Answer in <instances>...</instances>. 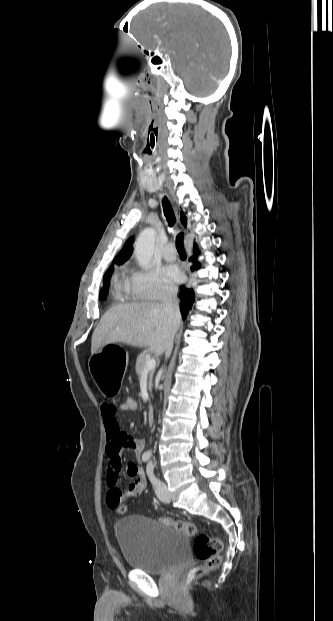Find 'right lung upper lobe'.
<instances>
[{
    "label": "right lung upper lobe",
    "instance_id": "cb5924a9",
    "mask_svg": "<svg viewBox=\"0 0 333 621\" xmlns=\"http://www.w3.org/2000/svg\"><path fill=\"white\" fill-rule=\"evenodd\" d=\"M180 219H181L182 224H183L184 226H186V225H187V223H186V219H187V218L185 217V215H184L182 212L180 213ZM133 240H134V238H133V237H131V238H129V239L127 240V242L125 243V245H124V247L122 248V250H121V251L119 252V254H118V255L114 258L113 263H116V264H118V265H119V264H121L122 262H124V261H126V260H128V259L130 258L131 253H132V242H133ZM111 267H113V265H112Z\"/></svg>",
    "mask_w": 333,
    "mask_h": 621
}]
</instances>
